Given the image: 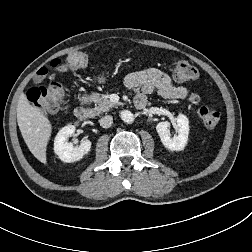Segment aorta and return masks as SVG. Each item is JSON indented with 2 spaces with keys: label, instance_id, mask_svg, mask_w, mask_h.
Masks as SVG:
<instances>
[{
  "label": "aorta",
  "instance_id": "obj_1",
  "mask_svg": "<svg viewBox=\"0 0 252 252\" xmlns=\"http://www.w3.org/2000/svg\"><path fill=\"white\" fill-rule=\"evenodd\" d=\"M120 117L126 123H132L134 121V115L128 110L121 111Z\"/></svg>",
  "mask_w": 252,
  "mask_h": 252
}]
</instances>
